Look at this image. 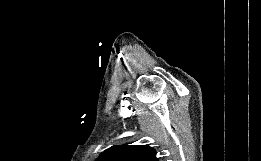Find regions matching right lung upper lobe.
<instances>
[{"mask_svg": "<svg viewBox=\"0 0 261 161\" xmlns=\"http://www.w3.org/2000/svg\"><path fill=\"white\" fill-rule=\"evenodd\" d=\"M98 161H158L154 149L147 145H114L104 151Z\"/></svg>", "mask_w": 261, "mask_h": 161, "instance_id": "right-lung-upper-lobe-1", "label": "right lung upper lobe"}]
</instances>
